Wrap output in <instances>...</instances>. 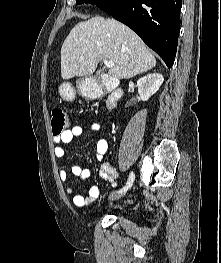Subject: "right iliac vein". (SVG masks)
Returning <instances> with one entry per match:
<instances>
[{"label":"right iliac vein","instance_id":"63e3f726","mask_svg":"<svg viewBox=\"0 0 221 263\" xmlns=\"http://www.w3.org/2000/svg\"><path fill=\"white\" fill-rule=\"evenodd\" d=\"M125 192H126V191L118 192V193H116V194H111V195L109 196V200H111V201L118 200V199H120V198L125 194Z\"/></svg>","mask_w":221,"mask_h":263}]
</instances>
